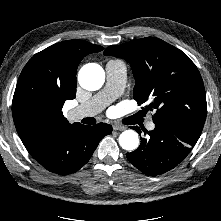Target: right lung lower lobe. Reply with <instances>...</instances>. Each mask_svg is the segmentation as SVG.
I'll return each instance as SVG.
<instances>
[{
    "instance_id": "obj_1",
    "label": "right lung lower lobe",
    "mask_w": 221,
    "mask_h": 221,
    "mask_svg": "<svg viewBox=\"0 0 221 221\" xmlns=\"http://www.w3.org/2000/svg\"><path fill=\"white\" fill-rule=\"evenodd\" d=\"M111 132L112 126L105 123L72 126L58 139L39 144L28 152L47 170L67 175L84 166L100 140Z\"/></svg>"
}]
</instances>
